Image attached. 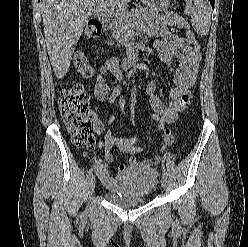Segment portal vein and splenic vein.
<instances>
[{
    "mask_svg": "<svg viewBox=\"0 0 248 247\" xmlns=\"http://www.w3.org/2000/svg\"><path fill=\"white\" fill-rule=\"evenodd\" d=\"M102 12H109L110 14H112V10H109L107 8H103L102 9ZM117 15H119V14L118 13H114V16H117Z\"/></svg>",
    "mask_w": 248,
    "mask_h": 247,
    "instance_id": "18ae733b",
    "label": "portal vein and splenic vein"
}]
</instances>
